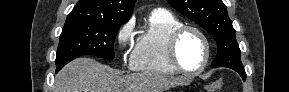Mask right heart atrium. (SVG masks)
<instances>
[{
	"label": "right heart atrium",
	"instance_id": "1",
	"mask_svg": "<svg viewBox=\"0 0 289 92\" xmlns=\"http://www.w3.org/2000/svg\"><path fill=\"white\" fill-rule=\"evenodd\" d=\"M134 29V22L129 20L126 22L117 33V42L120 48H126L130 42Z\"/></svg>",
	"mask_w": 289,
	"mask_h": 92
}]
</instances>
